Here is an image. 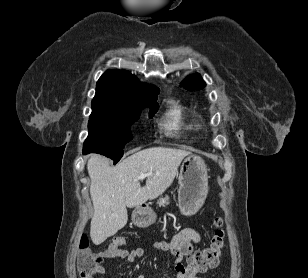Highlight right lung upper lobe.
Wrapping results in <instances>:
<instances>
[{
  "label": "right lung upper lobe",
  "instance_id": "1",
  "mask_svg": "<svg viewBox=\"0 0 308 278\" xmlns=\"http://www.w3.org/2000/svg\"><path fill=\"white\" fill-rule=\"evenodd\" d=\"M158 93L129 72L107 70L97 82L90 119L129 118L155 103Z\"/></svg>",
  "mask_w": 308,
  "mask_h": 278
}]
</instances>
